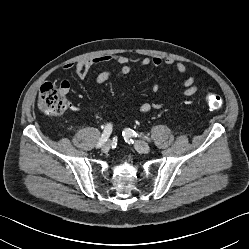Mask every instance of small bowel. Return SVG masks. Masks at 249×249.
<instances>
[{
    "instance_id": "c3829d8e",
    "label": "small bowel",
    "mask_w": 249,
    "mask_h": 249,
    "mask_svg": "<svg viewBox=\"0 0 249 249\" xmlns=\"http://www.w3.org/2000/svg\"><path fill=\"white\" fill-rule=\"evenodd\" d=\"M110 62H116L121 67L118 71L112 72L110 70H103L95 76V83L102 84L110 80L111 78L122 77L132 72L135 67H161V66H173L176 72L180 76L187 74V67L182 61H177L172 58H161L158 56L153 57H129L120 54H103L100 56L79 60L77 62L67 63L63 66L65 71L74 70L79 78H85L89 74L93 67L108 64ZM60 89L64 94H67L70 90V83L67 80H63L60 83ZM151 90L154 94L160 90L159 84L152 85ZM199 90V85L196 84V78L193 75L187 76L179 87V96L191 97L195 95ZM165 106V102L153 100L144 102L135 107V110L147 113L152 110H159ZM131 108H127L124 112L131 111Z\"/></svg>"
}]
</instances>
